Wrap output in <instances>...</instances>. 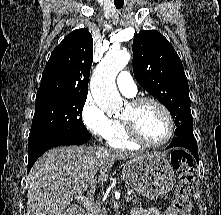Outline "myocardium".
<instances>
[{
  "label": "myocardium",
  "mask_w": 221,
  "mask_h": 215,
  "mask_svg": "<svg viewBox=\"0 0 221 215\" xmlns=\"http://www.w3.org/2000/svg\"><path fill=\"white\" fill-rule=\"evenodd\" d=\"M150 102L158 106L166 116L167 122H168V132L165 136V138L159 142V143H150L146 141L140 132L137 129L136 121L134 114H132L129 117H122L121 121L123 122L126 132L128 136L137 144L140 146L146 147V148H161L165 146L172 138L174 131H175V123L174 118L170 112V110L167 108V106L158 100L157 98L151 97V96H139L134 99H132L129 103L132 110L135 111L140 105L143 103Z\"/></svg>",
  "instance_id": "myocardium-1"
}]
</instances>
